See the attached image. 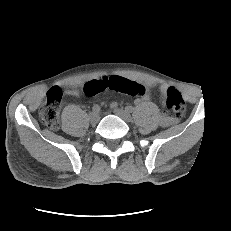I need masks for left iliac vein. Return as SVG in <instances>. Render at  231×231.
I'll list each match as a JSON object with an SVG mask.
<instances>
[{"instance_id": "4c4485c4", "label": "left iliac vein", "mask_w": 231, "mask_h": 231, "mask_svg": "<svg viewBox=\"0 0 231 231\" xmlns=\"http://www.w3.org/2000/svg\"><path fill=\"white\" fill-rule=\"evenodd\" d=\"M114 113L126 122L132 121V117H131L130 113H128L126 110L115 108Z\"/></svg>"}]
</instances>
